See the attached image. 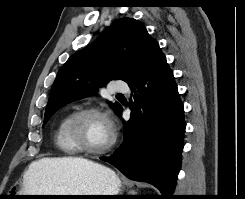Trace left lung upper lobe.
<instances>
[{"label":"left lung upper lobe","mask_w":245,"mask_h":199,"mask_svg":"<svg viewBox=\"0 0 245 199\" xmlns=\"http://www.w3.org/2000/svg\"><path fill=\"white\" fill-rule=\"evenodd\" d=\"M160 49L143 24L121 18L87 48L73 54L58 71L51 88L43 126L64 105L94 95L109 81L128 84L141 76ZM110 106L119 113L118 102Z\"/></svg>","instance_id":"left-lung-upper-lobe-1"}]
</instances>
